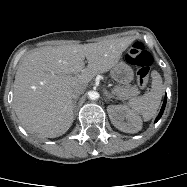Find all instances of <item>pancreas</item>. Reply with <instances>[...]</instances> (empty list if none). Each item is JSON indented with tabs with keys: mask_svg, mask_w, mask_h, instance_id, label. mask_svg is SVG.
Masks as SVG:
<instances>
[{
	"mask_svg": "<svg viewBox=\"0 0 187 187\" xmlns=\"http://www.w3.org/2000/svg\"><path fill=\"white\" fill-rule=\"evenodd\" d=\"M114 93L120 98V99H129L133 96H136L139 94V90L136 86L133 87H116L114 89Z\"/></svg>",
	"mask_w": 187,
	"mask_h": 187,
	"instance_id": "pancreas-1",
	"label": "pancreas"
}]
</instances>
